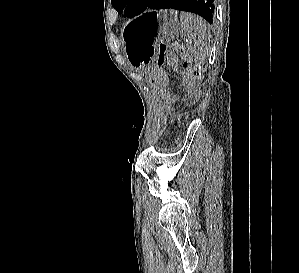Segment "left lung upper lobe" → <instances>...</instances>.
<instances>
[{"mask_svg":"<svg viewBox=\"0 0 299 273\" xmlns=\"http://www.w3.org/2000/svg\"><path fill=\"white\" fill-rule=\"evenodd\" d=\"M151 0H111L112 6L127 17H133L142 13Z\"/></svg>","mask_w":299,"mask_h":273,"instance_id":"5c2ea615","label":"left lung upper lobe"}]
</instances>
